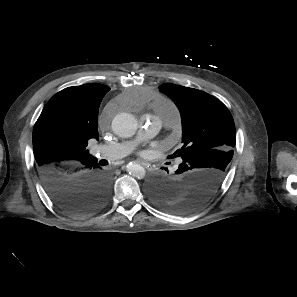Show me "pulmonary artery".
Segmentation results:
<instances>
[{
	"mask_svg": "<svg viewBox=\"0 0 297 297\" xmlns=\"http://www.w3.org/2000/svg\"><path fill=\"white\" fill-rule=\"evenodd\" d=\"M159 111L158 116L150 118L142 117V125L136 140L108 145H96L92 148V152L109 160L127 156L132 152L138 141L151 138L158 132L162 125L170 126L178 118V112L171 103L162 105Z\"/></svg>",
	"mask_w": 297,
	"mask_h": 297,
	"instance_id": "obj_1",
	"label": "pulmonary artery"
}]
</instances>
